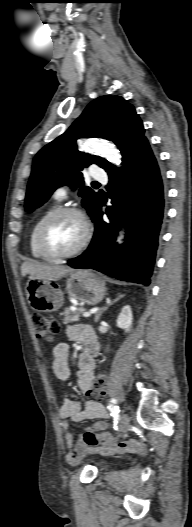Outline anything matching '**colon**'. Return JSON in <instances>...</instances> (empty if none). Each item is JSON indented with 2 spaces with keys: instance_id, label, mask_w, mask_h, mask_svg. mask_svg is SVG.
Listing matches in <instances>:
<instances>
[{
  "instance_id": "obj_1",
  "label": "colon",
  "mask_w": 192,
  "mask_h": 527,
  "mask_svg": "<svg viewBox=\"0 0 192 527\" xmlns=\"http://www.w3.org/2000/svg\"><path fill=\"white\" fill-rule=\"evenodd\" d=\"M34 331L36 337L42 343H51L60 332V325L56 320L47 318L42 315H34L32 318ZM105 377L98 374L94 380V394L95 399L99 398L104 391Z\"/></svg>"
}]
</instances>
